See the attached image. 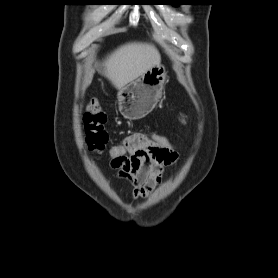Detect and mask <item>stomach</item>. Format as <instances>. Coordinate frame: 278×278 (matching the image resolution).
<instances>
[{
  "mask_svg": "<svg viewBox=\"0 0 278 278\" xmlns=\"http://www.w3.org/2000/svg\"><path fill=\"white\" fill-rule=\"evenodd\" d=\"M166 80V69L158 64L120 89L117 99L123 117L138 120L149 114L161 98Z\"/></svg>",
  "mask_w": 278,
  "mask_h": 278,
  "instance_id": "stomach-1",
  "label": "stomach"
}]
</instances>
